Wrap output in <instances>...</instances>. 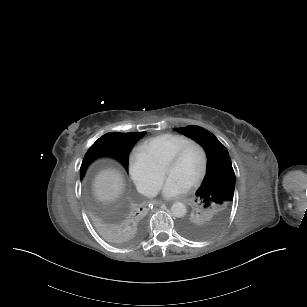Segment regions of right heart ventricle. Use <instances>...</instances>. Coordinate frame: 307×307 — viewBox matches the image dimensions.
<instances>
[{"label": "right heart ventricle", "instance_id": "right-heart-ventricle-1", "mask_svg": "<svg viewBox=\"0 0 307 307\" xmlns=\"http://www.w3.org/2000/svg\"><path fill=\"white\" fill-rule=\"evenodd\" d=\"M192 138L190 136L179 134V133H166L155 140L146 141L143 143L154 144L157 148L156 156L159 161L163 162L166 157L173 154L178 148H180L184 143L190 141Z\"/></svg>", "mask_w": 307, "mask_h": 307}]
</instances>
